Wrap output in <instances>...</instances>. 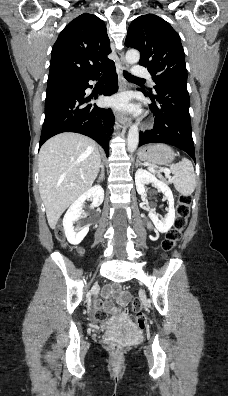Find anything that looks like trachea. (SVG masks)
I'll use <instances>...</instances> for the list:
<instances>
[{
	"label": "trachea",
	"mask_w": 228,
	"mask_h": 396,
	"mask_svg": "<svg viewBox=\"0 0 228 396\" xmlns=\"http://www.w3.org/2000/svg\"><path fill=\"white\" fill-rule=\"evenodd\" d=\"M123 75L127 80H130V81H145L144 79L137 78L126 71L123 72Z\"/></svg>",
	"instance_id": "3493384b"
}]
</instances>
